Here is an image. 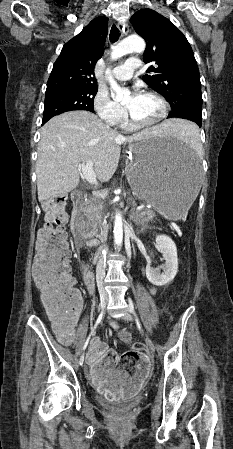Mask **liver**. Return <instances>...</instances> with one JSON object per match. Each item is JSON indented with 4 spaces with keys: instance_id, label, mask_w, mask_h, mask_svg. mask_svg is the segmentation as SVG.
<instances>
[{
    "instance_id": "liver-1",
    "label": "liver",
    "mask_w": 233,
    "mask_h": 449,
    "mask_svg": "<svg viewBox=\"0 0 233 449\" xmlns=\"http://www.w3.org/2000/svg\"><path fill=\"white\" fill-rule=\"evenodd\" d=\"M180 121L165 120L124 137L88 111H70L53 117L43 126L38 145L39 201L64 196L74 190L80 180L79 165L88 161L93 162V171L99 181H109L118 166L121 144L156 135H174Z\"/></svg>"
}]
</instances>
